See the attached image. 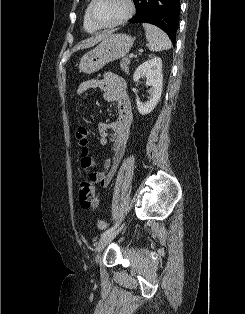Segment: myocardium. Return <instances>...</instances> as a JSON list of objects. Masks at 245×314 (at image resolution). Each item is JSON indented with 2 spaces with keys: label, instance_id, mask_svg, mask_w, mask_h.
I'll use <instances>...</instances> for the list:
<instances>
[{
  "label": "myocardium",
  "instance_id": "obj_1",
  "mask_svg": "<svg viewBox=\"0 0 245 314\" xmlns=\"http://www.w3.org/2000/svg\"><path fill=\"white\" fill-rule=\"evenodd\" d=\"M96 1L97 0H91V3L89 5L88 14H89V18H90L91 22L98 29H106V28H113V27L119 26V25L125 23L127 20H129L135 12V5L133 3V0H124V2L126 4L125 13L120 18L115 20L114 22L103 24V23L98 22L94 16L93 10H94V5H95Z\"/></svg>",
  "mask_w": 245,
  "mask_h": 314
}]
</instances>
